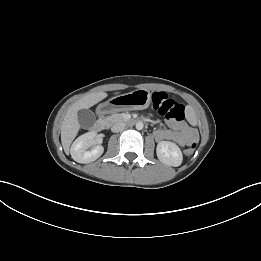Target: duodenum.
<instances>
[{"label": "duodenum", "mask_w": 261, "mask_h": 261, "mask_svg": "<svg viewBox=\"0 0 261 261\" xmlns=\"http://www.w3.org/2000/svg\"><path fill=\"white\" fill-rule=\"evenodd\" d=\"M111 109V106H105L103 107L101 110L104 112V111H108ZM131 122H136L134 120H131ZM107 126V123L104 119H99L96 123H95V126H94V129L97 130V131H101L103 129H105Z\"/></svg>", "instance_id": "1"}]
</instances>
